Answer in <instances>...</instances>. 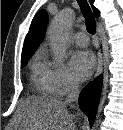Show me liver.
Segmentation results:
<instances>
[{"label": "liver", "instance_id": "6515ba94", "mask_svg": "<svg viewBox=\"0 0 123 130\" xmlns=\"http://www.w3.org/2000/svg\"><path fill=\"white\" fill-rule=\"evenodd\" d=\"M74 118L61 100L29 96L20 101L7 130H75Z\"/></svg>", "mask_w": 123, "mask_h": 130}]
</instances>
